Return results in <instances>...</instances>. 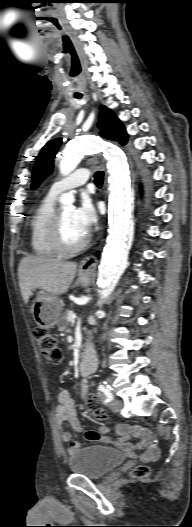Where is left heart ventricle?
Returning a JSON list of instances; mask_svg holds the SVG:
<instances>
[{
  "label": "left heart ventricle",
  "mask_w": 192,
  "mask_h": 527,
  "mask_svg": "<svg viewBox=\"0 0 192 527\" xmlns=\"http://www.w3.org/2000/svg\"><path fill=\"white\" fill-rule=\"evenodd\" d=\"M63 237L68 245H76L87 235L77 224L74 209L65 207L61 209Z\"/></svg>",
  "instance_id": "1"
}]
</instances>
